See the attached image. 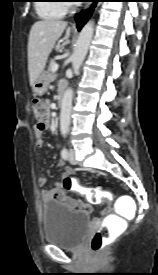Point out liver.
<instances>
[{
  "label": "liver",
  "mask_w": 158,
  "mask_h": 275,
  "mask_svg": "<svg viewBox=\"0 0 158 275\" xmlns=\"http://www.w3.org/2000/svg\"><path fill=\"white\" fill-rule=\"evenodd\" d=\"M66 27V22L50 19L37 21L32 25L28 40V71L31 85L43 72L50 52ZM70 31L68 27L66 42Z\"/></svg>",
  "instance_id": "1"
}]
</instances>
